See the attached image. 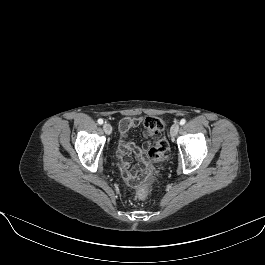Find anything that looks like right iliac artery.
Instances as JSON below:
<instances>
[{"instance_id":"82829eb1","label":"right iliac artery","mask_w":265,"mask_h":265,"mask_svg":"<svg viewBox=\"0 0 265 265\" xmlns=\"http://www.w3.org/2000/svg\"><path fill=\"white\" fill-rule=\"evenodd\" d=\"M98 123L100 124V125H102L103 124V119H98Z\"/></svg>"}]
</instances>
